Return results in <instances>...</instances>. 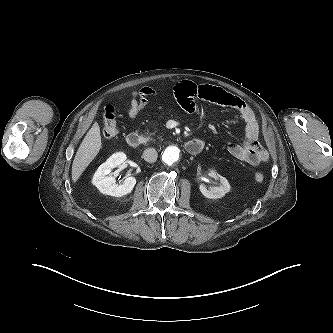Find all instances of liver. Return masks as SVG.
<instances>
[{"mask_svg": "<svg viewBox=\"0 0 333 333\" xmlns=\"http://www.w3.org/2000/svg\"><path fill=\"white\" fill-rule=\"evenodd\" d=\"M101 149L98 123H94L80 144L72 164V181L75 183Z\"/></svg>", "mask_w": 333, "mask_h": 333, "instance_id": "liver-1", "label": "liver"}]
</instances>
